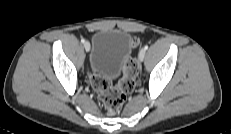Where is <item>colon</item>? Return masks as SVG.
Masks as SVG:
<instances>
[{"label":"colon","mask_w":231,"mask_h":134,"mask_svg":"<svg viewBox=\"0 0 231 134\" xmlns=\"http://www.w3.org/2000/svg\"><path fill=\"white\" fill-rule=\"evenodd\" d=\"M133 44L137 46L138 40L134 39ZM137 74L138 65L133 58H129L125 64L124 78L116 86H112L106 79L97 75L90 76V83L109 114L119 111L127 95L134 89Z\"/></svg>","instance_id":"5ec220e1"}]
</instances>
